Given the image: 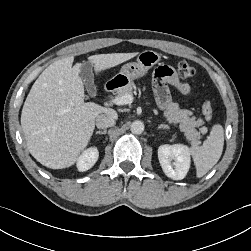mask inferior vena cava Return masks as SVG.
Returning a JSON list of instances; mask_svg holds the SVG:
<instances>
[{
  "instance_id": "inferior-vena-cava-1",
  "label": "inferior vena cava",
  "mask_w": 251,
  "mask_h": 251,
  "mask_svg": "<svg viewBox=\"0 0 251 251\" xmlns=\"http://www.w3.org/2000/svg\"><path fill=\"white\" fill-rule=\"evenodd\" d=\"M115 116L113 114H100L96 118V126L99 129H106L115 125Z\"/></svg>"
}]
</instances>
